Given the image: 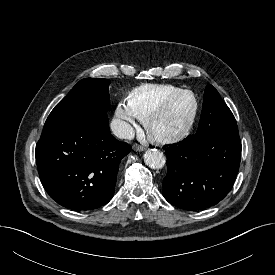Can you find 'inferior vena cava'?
Instances as JSON below:
<instances>
[{"mask_svg":"<svg viewBox=\"0 0 275 275\" xmlns=\"http://www.w3.org/2000/svg\"><path fill=\"white\" fill-rule=\"evenodd\" d=\"M111 130L114 133V135L120 139L131 140L134 138V135H135V132L132 126L121 119L112 120Z\"/></svg>","mask_w":275,"mask_h":275,"instance_id":"1","label":"inferior vena cava"}]
</instances>
